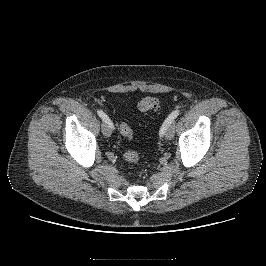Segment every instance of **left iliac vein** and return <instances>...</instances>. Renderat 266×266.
<instances>
[{
	"instance_id": "1",
	"label": "left iliac vein",
	"mask_w": 266,
	"mask_h": 266,
	"mask_svg": "<svg viewBox=\"0 0 266 266\" xmlns=\"http://www.w3.org/2000/svg\"><path fill=\"white\" fill-rule=\"evenodd\" d=\"M174 133H175V131H174V127H173L172 125H170V126L167 128L166 132H165V138H166L167 140H171V139L174 137Z\"/></svg>"
}]
</instances>
